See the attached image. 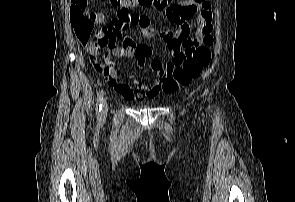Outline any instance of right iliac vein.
<instances>
[{"mask_svg":"<svg viewBox=\"0 0 295 202\" xmlns=\"http://www.w3.org/2000/svg\"><path fill=\"white\" fill-rule=\"evenodd\" d=\"M108 110V102L107 99L103 100V105H102V114H105Z\"/></svg>","mask_w":295,"mask_h":202,"instance_id":"1","label":"right iliac vein"}]
</instances>
